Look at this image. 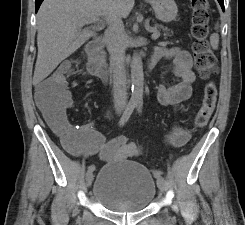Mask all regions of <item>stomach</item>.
Instances as JSON below:
<instances>
[{
	"label": "stomach",
	"mask_w": 245,
	"mask_h": 225,
	"mask_svg": "<svg viewBox=\"0 0 245 225\" xmlns=\"http://www.w3.org/2000/svg\"><path fill=\"white\" fill-rule=\"evenodd\" d=\"M151 4L158 20L168 23L175 20L178 12L174 0H146Z\"/></svg>",
	"instance_id": "stomach-1"
}]
</instances>
